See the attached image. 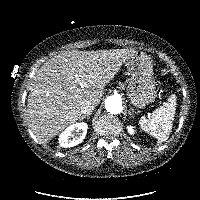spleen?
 <instances>
[{
    "mask_svg": "<svg viewBox=\"0 0 200 200\" xmlns=\"http://www.w3.org/2000/svg\"><path fill=\"white\" fill-rule=\"evenodd\" d=\"M176 111V95L172 94L167 102L155 109L148 118L142 117L140 127L160 142H165L172 131Z\"/></svg>",
    "mask_w": 200,
    "mask_h": 200,
    "instance_id": "3e777b00",
    "label": "spleen"
}]
</instances>
